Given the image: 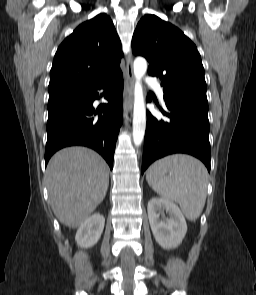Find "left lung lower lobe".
Masks as SVG:
<instances>
[{"instance_id":"obj_1","label":"left lung lower lobe","mask_w":256,"mask_h":295,"mask_svg":"<svg viewBox=\"0 0 256 295\" xmlns=\"http://www.w3.org/2000/svg\"><path fill=\"white\" fill-rule=\"evenodd\" d=\"M150 102V97L147 98ZM166 102V101H165ZM169 120H158L147 112L142 174L155 160L169 154L186 153L200 159L210 172L208 108L183 102H166Z\"/></svg>"}]
</instances>
